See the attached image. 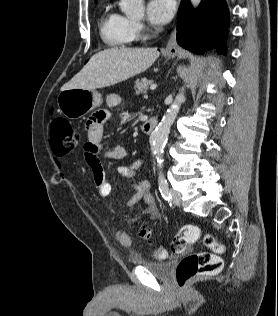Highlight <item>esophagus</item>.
I'll use <instances>...</instances> for the list:
<instances>
[{
	"mask_svg": "<svg viewBox=\"0 0 278 316\" xmlns=\"http://www.w3.org/2000/svg\"><path fill=\"white\" fill-rule=\"evenodd\" d=\"M177 26L176 24L174 25L171 34L169 36L166 48H165V52L168 55H175L177 53L178 50V44H177Z\"/></svg>",
	"mask_w": 278,
	"mask_h": 316,
	"instance_id": "obj_1",
	"label": "esophagus"
}]
</instances>
